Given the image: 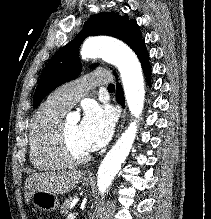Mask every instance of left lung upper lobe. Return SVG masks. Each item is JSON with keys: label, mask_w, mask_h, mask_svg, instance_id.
Returning a JSON list of instances; mask_svg holds the SVG:
<instances>
[{"label": "left lung upper lobe", "mask_w": 211, "mask_h": 219, "mask_svg": "<svg viewBox=\"0 0 211 219\" xmlns=\"http://www.w3.org/2000/svg\"><path fill=\"white\" fill-rule=\"evenodd\" d=\"M89 35H108L118 38L134 51L142 42L137 22L133 19L129 20L127 15L120 16L114 12H101L93 15L80 33L49 60L35 90L34 108L56 87L75 79L80 74L81 63L78 50L83 40ZM96 66L98 64H93L91 67Z\"/></svg>", "instance_id": "obj_1"}]
</instances>
